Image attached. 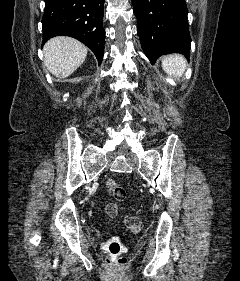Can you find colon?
<instances>
[{"instance_id":"5ec220e1","label":"colon","mask_w":240,"mask_h":281,"mask_svg":"<svg viewBox=\"0 0 240 281\" xmlns=\"http://www.w3.org/2000/svg\"><path fill=\"white\" fill-rule=\"evenodd\" d=\"M105 188L118 201L126 198L125 190L119 187L112 179L106 181ZM105 212L110 218H117L119 216V209L114 203H108L105 207ZM126 226L131 232H138L141 229V220L138 217H128ZM105 254L106 261L111 266L120 268L127 264V257L124 255L123 246L118 241L109 242L106 246Z\"/></svg>"}]
</instances>
